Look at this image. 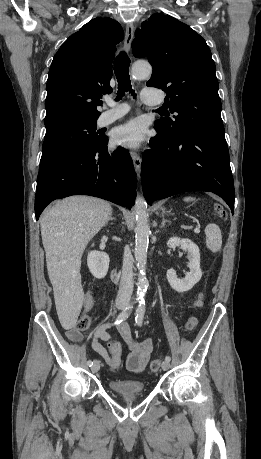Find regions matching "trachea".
I'll return each instance as SVG.
<instances>
[{"label":"trachea","instance_id":"3493384b","mask_svg":"<svg viewBox=\"0 0 261 459\" xmlns=\"http://www.w3.org/2000/svg\"><path fill=\"white\" fill-rule=\"evenodd\" d=\"M129 66L130 59L126 52H120L114 61V72L118 82V93L116 100H120L125 95V92H130L132 95H134V98L136 97L130 82Z\"/></svg>","mask_w":261,"mask_h":459}]
</instances>
